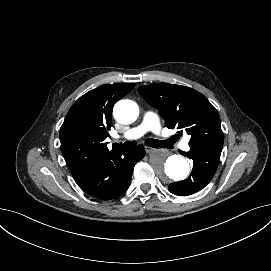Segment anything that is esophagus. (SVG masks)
Listing matches in <instances>:
<instances>
[{
  "instance_id": "34e87169",
  "label": "esophagus",
  "mask_w": 271,
  "mask_h": 271,
  "mask_svg": "<svg viewBox=\"0 0 271 271\" xmlns=\"http://www.w3.org/2000/svg\"><path fill=\"white\" fill-rule=\"evenodd\" d=\"M145 151H146L147 153H151V152L157 151V149L152 148V147H149V146H145Z\"/></svg>"
}]
</instances>
